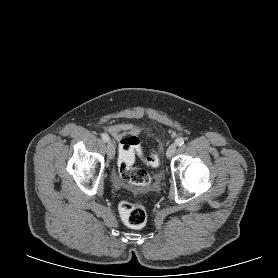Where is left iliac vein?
I'll return each mask as SVG.
<instances>
[{
	"label": "left iliac vein",
	"mask_w": 278,
	"mask_h": 278,
	"mask_svg": "<svg viewBox=\"0 0 278 278\" xmlns=\"http://www.w3.org/2000/svg\"><path fill=\"white\" fill-rule=\"evenodd\" d=\"M175 151H176V144L173 143L168 147V149L166 151V156L168 158L172 157L174 155Z\"/></svg>",
	"instance_id": "1"
}]
</instances>
